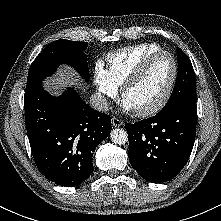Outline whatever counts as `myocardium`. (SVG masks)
Segmentation results:
<instances>
[{"instance_id":"1","label":"myocardium","mask_w":221,"mask_h":221,"mask_svg":"<svg viewBox=\"0 0 221 221\" xmlns=\"http://www.w3.org/2000/svg\"><path fill=\"white\" fill-rule=\"evenodd\" d=\"M161 56H167L172 61L173 73H172L170 82H169L165 92L161 96V98L155 104H153L152 106H150L148 108H144V109H141V110H136V113L139 116H151V115H154V114L158 113L159 111H161L166 106V104L170 100V98L173 94L177 79H178V75H179V67H178V63H177L176 58L170 52L163 51V50L151 53L148 56H146L131 71V73L127 76V78L121 84L120 93H121V97L124 98L127 90L139 79V77L145 72V70L148 68V66L155 59H157L158 57H161Z\"/></svg>"}]
</instances>
